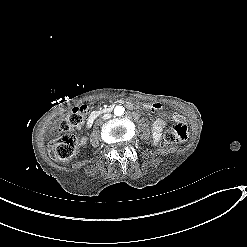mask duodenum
I'll return each instance as SVG.
<instances>
[{"mask_svg": "<svg viewBox=\"0 0 247 247\" xmlns=\"http://www.w3.org/2000/svg\"><path fill=\"white\" fill-rule=\"evenodd\" d=\"M112 110H113V106H109L100 110L93 111L87 118V122H86L87 127H91L97 118H99L104 114L112 112Z\"/></svg>", "mask_w": 247, "mask_h": 247, "instance_id": "duodenum-1", "label": "duodenum"}]
</instances>
